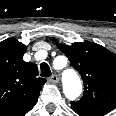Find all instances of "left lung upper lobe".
<instances>
[{
    "label": "left lung upper lobe",
    "mask_w": 116,
    "mask_h": 116,
    "mask_svg": "<svg viewBox=\"0 0 116 116\" xmlns=\"http://www.w3.org/2000/svg\"><path fill=\"white\" fill-rule=\"evenodd\" d=\"M53 41L83 78V97L71 102V107L106 113L112 111L116 107V55L92 42H75L66 46L55 39Z\"/></svg>",
    "instance_id": "left-lung-upper-lobe-1"
}]
</instances>
